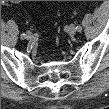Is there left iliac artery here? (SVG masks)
Here are the masks:
<instances>
[{
    "label": "left iliac artery",
    "instance_id": "1",
    "mask_svg": "<svg viewBox=\"0 0 109 109\" xmlns=\"http://www.w3.org/2000/svg\"><path fill=\"white\" fill-rule=\"evenodd\" d=\"M76 29H77L78 32H80L82 30V27L81 26H77Z\"/></svg>",
    "mask_w": 109,
    "mask_h": 109
}]
</instances>
